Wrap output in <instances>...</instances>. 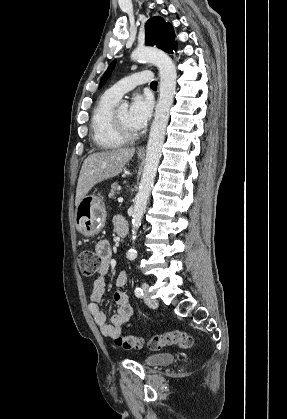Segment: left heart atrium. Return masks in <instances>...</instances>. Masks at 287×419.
Masks as SVG:
<instances>
[{
    "label": "left heart atrium",
    "instance_id": "1",
    "mask_svg": "<svg viewBox=\"0 0 287 419\" xmlns=\"http://www.w3.org/2000/svg\"><path fill=\"white\" fill-rule=\"evenodd\" d=\"M153 108V101L147 95L136 94L132 98L129 110V124L135 131L142 130L148 123Z\"/></svg>",
    "mask_w": 287,
    "mask_h": 419
}]
</instances>
